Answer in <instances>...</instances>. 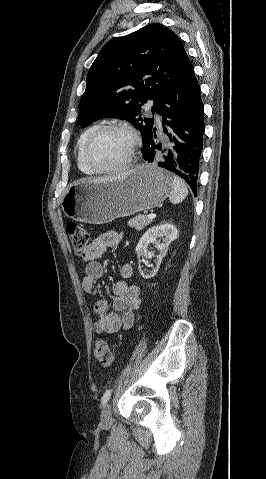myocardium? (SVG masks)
I'll return each mask as SVG.
<instances>
[{"instance_id": "myocardium-1", "label": "myocardium", "mask_w": 266, "mask_h": 479, "mask_svg": "<svg viewBox=\"0 0 266 479\" xmlns=\"http://www.w3.org/2000/svg\"><path fill=\"white\" fill-rule=\"evenodd\" d=\"M110 130H117V131H122V132L127 133L131 137L132 143H131L128 155H127V157L125 158L124 161H122L120 164H118L114 167H111V168H108V169H100V168H97L91 162L90 151H91V148H92L95 140L101 134H103L106 131H110ZM139 145H140L139 135L130 126H127V125H124V124H119V123L105 124V125L99 126L87 139L86 144L84 146V150H83V159H84V162H85L86 166L88 167V169L93 174H99V175L112 174V173L124 170L131 165V163L134 159L136 150L139 147Z\"/></svg>"}]
</instances>
